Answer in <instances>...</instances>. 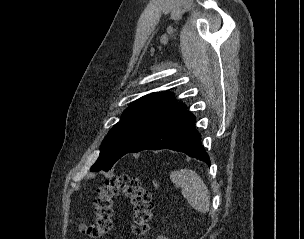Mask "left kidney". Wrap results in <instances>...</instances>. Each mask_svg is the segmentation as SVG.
<instances>
[{"label": "left kidney", "mask_w": 304, "mask_h": 239, "mask_svg": "<svg viewBox=\"0 0 304 239\" xmlns=\"http://www.w3.org/2000/svg\"><path fill=\"white\" fill-rule=\"evenodd\" d=\"M156 239H168V238L163 237V236H158Z\"/></svg>", "instance_id": "obj_1"}]
</instances>
